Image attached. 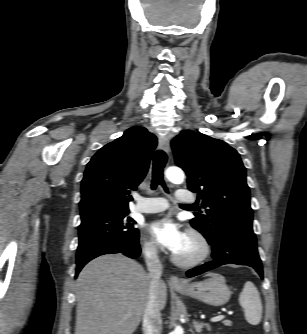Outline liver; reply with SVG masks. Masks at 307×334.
<instances>
[{
  "label": "liver",
  "mask_w": 307,
  "mask_h": 334,
  "mask_svg": "<svg viewBox=\"0 0 307 334\" xmlns=\"http://www.w3.org/2000/svg\"><path fill=\"white\" fill-rule=\"evenodd\" d=\"M150 283L144 268L120 253L90 261L76 281L75 334H132L144 315ZM157 300L164 309L167 286L162 280Z\"/></svg>",
  "instance_id": "obj_1"
}]
</instances>
